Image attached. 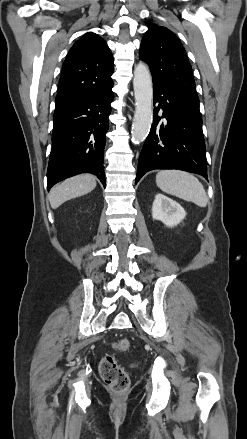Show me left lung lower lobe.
<instances>
[{
	"label": "left lung lower lobe",
	"mask_w": 247,
	"mask_h": 439,
	"mask_svg": "<svg viewBox=\"0 0 247 439\" xmlns=\"http://www.w3.org/2000/svg\"><path fill=\"white\" fill-rule=\"evenodd\" d=\"M154 120L142 148L136 183L154 169H179L207 179V160L199 104L153 83ZM163 110V116L158 111ZM162 118L166 121L163 123Z\"/></svg>",
	"instance_id": "1"
}]
</instances>
